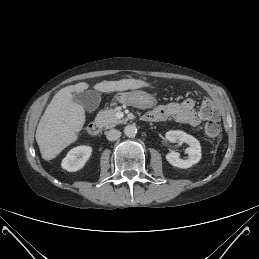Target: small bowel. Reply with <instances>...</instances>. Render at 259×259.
Masks as SVG:
<instances>
[{"label": "small bowel", "instance_id": "small-bowel-1", "mask_svg": "<svg viewBox=\"0 0 259 259\" xmlns=\"http://www.w3.org/2000/svg\"><path fill=\"white\" fill-rule=\"evenodd\" d=\"M145 115L150 117L149 122L165 121L172 118L178 123L190 126H198L201 121L209 118L202 110L198 112L195 109V102L190 98L181 102L160 105Z\"/></svg>", "mask_w": 259, "mask_h": 259}]
</instances>
